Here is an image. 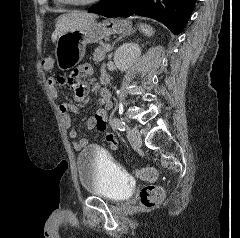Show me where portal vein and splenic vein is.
I'll return each instance as SVG.
<instances>
[{
	"label": "portal vein and splenic vein",
	"mask_w": 240,
	"mask_h": 238,
	"mask_svg": "<svg viewBox=\"0 0 240 238\" xmlns=\"http://www.w3.org/2000/svg\"><path fill=\"white\" fill-rule=\"evenodd\" d=\"M110 50H111V45H110V44H107V45L105 46V51L108 52V51H110Z\"/></svg>",
	"instance_id": "portal-vein-and-splenic-vein-1"
}]
</instances>
